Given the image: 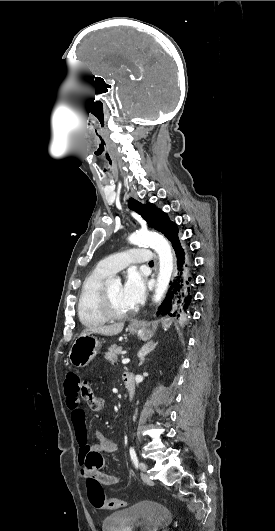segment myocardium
<instances>
[{
  "label": "myocardium",
  "mask_w": 275,
  "mask_h": 531,
  "mask_svg": "<svg viewBox=\"0 0 275 531\" xmlns=\"http://www.w3.org/2000/svg\"><path fill=\"white\" fill-rule=\"evenodd\" d=\"M99 304H100V307L103 313L109 319H116V320L124 319L132 313V310L126 313H118L114 310L112 306V302H111L110 292L107 289L106 283H103L101 286Z\"/></svg>",
  "instance_id": "obj_1"
}]
</instances>
